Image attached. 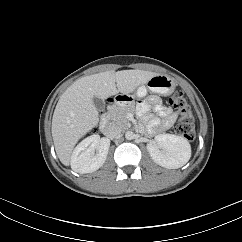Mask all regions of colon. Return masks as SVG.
I'll return each instance as SVG.
<instances>
[{
	"mask_svg": "<svg viewBox=\"0 0 242 242\" xmlns=\"http://www.w3.org/2000/svg\"><path fill=\"white\" fill-rule=\"evenodd\" d=\"M170 104L179 115L176 132L187 139H193L194 121L184 94L176 91L170 98Z\"/></svg>",
	"mask_w": 242,
	"mask_h": 242,
	"instance_id": "colon-1",
	"label": "colon"
}]
</instances>
